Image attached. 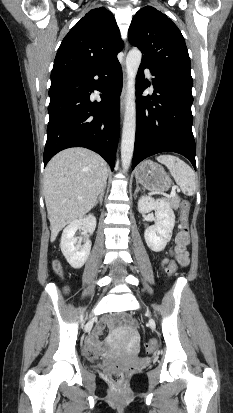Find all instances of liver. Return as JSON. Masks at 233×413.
<instances>
[{"instance_id":"6515ba94","label":"liver","mask_w":233,"mask_h":413,"mask_svg":"<svg viewBox=\"0 0 233 413\" xmlns=\"http://www.w3.org/2000/svg\"><path fill=\"white\" fill-rule=\"evenodd\" d=\"M107 174L105 160L86 148L65 149L49 161L43 188L51 242L67 224L94 207Z\"/></svg>"}]
</instances>
